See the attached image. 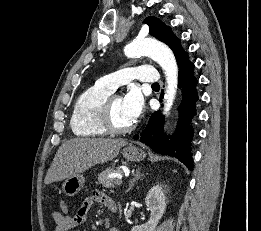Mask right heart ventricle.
I'll return each instance as SVG.
<instances>
[{
    "mask_svg": "<svg viewBox=\"0 0 261 231\" xmlns=\"http://www.w3.org/2000/svg\"><path fill=\"white\" fill-rule=\"evenodd\" d=\"M112 93L113 91L98 82L78 97L70 117V127L75 135L100 137L108 134L99 123V113Z\"/></svg>",
    "mask_w": 261,
    "mask_h": 231,
    "instance_id": "obj_1",
    "label": "right heart ventricle"
}]
</instances>
